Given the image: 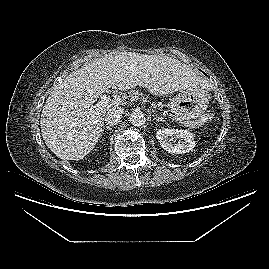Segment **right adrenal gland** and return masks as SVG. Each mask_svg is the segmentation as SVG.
I'll return each mask as SVG.
<instances>
[{
    "mask_svg": "<svg viewBox=\"0 0 269 269\" xmlns=\"http://www.w3.org/2000/svg\"><path fill=\"white\" fill-rule=\"evenodd\" d=\"M106 129L110 130L111 128H110V126H106ZM103 131H104V130H103Z\"/></svg>",
    "mask_w": 269,
    "mask_h": 269,
    "instance_id": "2a0ac1e0",
    "label": "right adrenal gland"
}]
</instances>
